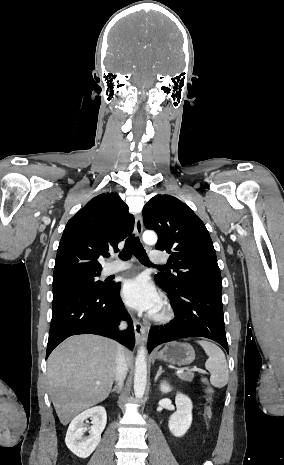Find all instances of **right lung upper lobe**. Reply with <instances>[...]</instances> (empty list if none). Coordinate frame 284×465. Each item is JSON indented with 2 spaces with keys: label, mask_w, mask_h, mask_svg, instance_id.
<instances>
[{
  "label": "right lung upper lobe",
  "mask_w": 284,
  "mask_h": 465,
  "mask_svg": "<svg viewBox=\"0 0 284 465\" xmlns=\"http://www.w3.org/2000/svg\"><path fill=\"white\" fill-rule=\"evenodd\" d=\"M134 228V216L115 193L91 199L67 223L57 250L53 280L82 274H97L98 262Z\"/></svg>",
  "instance_id": "right-lung-upper-lobe-1"
}]
</instances>
